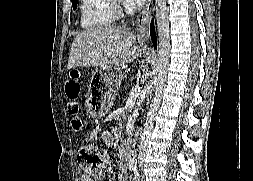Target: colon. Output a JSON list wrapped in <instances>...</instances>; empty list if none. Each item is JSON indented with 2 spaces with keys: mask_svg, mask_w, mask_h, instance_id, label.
<instances>
[{
  "mask_svg": "<svg viewBox=\"0 0 253 181\" xmlns=\"http://www.w3.org/2000/svg\"><path fill=\"white\" fill-rule=\"evenodd\" d=\"M66 95L70 101L69 109L73 115H76L78 111L77 100L81 96V85L75 78V73L73 77L69 79L66 83ZM73 125L76 129H79L82 125L81 121L75 119ZM107 154L105 149L96 142H86L79 150V160L82 169L89 173H96L99 171L106 163Z\"/></svg>",
  "mask_w": 253,
  "mask_h": 181,
  "instance_id": "colon-1",
  "label": "colon"
}]
</instances>
